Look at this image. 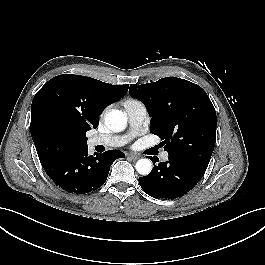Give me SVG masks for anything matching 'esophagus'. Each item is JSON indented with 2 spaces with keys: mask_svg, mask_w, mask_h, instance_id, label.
<instances>
[{
  "mask_svg": "<svg viewBox=\"0 0 265 265\" xmlns=\"http://www.w3.org/2000/svg\"><path fill=\"white\" fill-rule=\"evenodd\" d=\"M127 156H128L129 158L133 159V160H137V159L139 158L138 155L133 154V153H130V154H128Z\"/></svg>",
  "mask_w": 265,
  "mask_h": 265,
  "instance_id": "esophagus-1",
  "label": "esophagus"
}]
</instances>
